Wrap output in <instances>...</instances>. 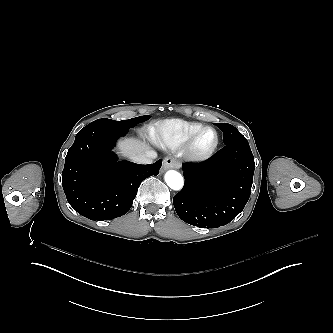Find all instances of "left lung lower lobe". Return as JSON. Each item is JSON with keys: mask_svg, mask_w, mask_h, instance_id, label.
<instances>
[{"mask_svg": "<svg viewBox=\"0 0 333 333\" xmlns=\"http://www.w3.org/2000/svg\"><path fill=\"white\" fill-rule=\"evenodd\" d=\"M182 169L185 184L173 203L184 222L216 228L228 224L244 209L255 169L246 138L233 140L206 161L185 164Z\"/></svg>", "mask_w": 333, "mask_h": 333, "instance_id": "left-lung-lower-lobe-1", "label": "left lung lower lobe"}]
</instances>
